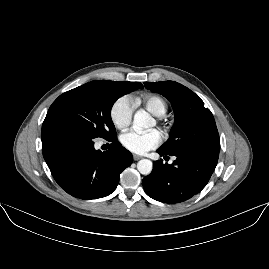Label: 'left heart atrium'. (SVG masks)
<instances>
[{
    "instance_id": "obj_1",
    "label": "left heart atrium",
    "mask_w": 269,
    "mask_h": 269,
    "mask_svg": "<svg viewBox=\"0 0 269 269\" xmlns=\"http://www.w3.org/2000/svg\"><path fill=\"white\" fill-rule=\"evenodd\" d=\"M119 139L121 146L134 154H144L158 147L162 142V136L158 130H152L147 133L130 130L122 133Z\"/></svg>"
}]
</instances>
